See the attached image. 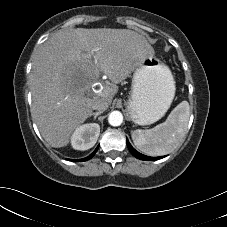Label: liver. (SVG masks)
<instances>
[{
    "instance_id": "6515ba94",
    "label": "liver",
    "mask_w": 227,
    "mask_h": 227,
    "mask_svg": "<svg viewBox=\"0 0 227 227\" xmlns=\"http://www.w3.org/2000/svg\"><path fill=\"white\" fill-rule=\"evenodd\" d=\"M147 56H154V49L132 30L77 28L55 33L35 55L29 79L32 116L42 137L54 148L68 145L73 131L91 116L92 106L98 101L109 106L117 84ZM99 72L111 83L94 90Z\"/></svg>"
}]
</instances>
